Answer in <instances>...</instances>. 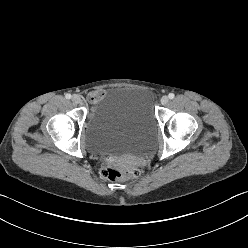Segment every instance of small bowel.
<instances>
[{"label": "small bowel", "mask_w": 248, "mask_h": 248, "mask_svg": "<svg viewBox=\"0 0 248 248\" xmlns=\"http://www.w3.org/2000/svg\"><path fill=\"white\" fill-rule=\"evenodd\" d=\"M103 92L102 91H94L90 94V99L95 102V101H98L99 99L102 98L103 96Z\"/></svg>", "instance_id": "c3829d8e"}]
</instances>
